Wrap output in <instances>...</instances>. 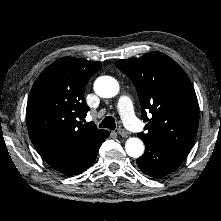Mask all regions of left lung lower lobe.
<instances>
[{
	"label": "left lung lower lobe",
	"instance_id": "obj_1",
	"mask_svg": "<svg viewBox=\"0 0 221 221\" xmlns=\"http://www.w3.org/2000/svg\"><path fill=\"white\" fill-rule=\"evenodd\" d=\"M142 140L145 153L136 163L143 173L151 177L161 178L168 175L179 167L189 152L160 141Z\"/></svg>",
	"mask_w": 221,
	"mask_h": 221
}]
</instances>
